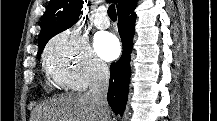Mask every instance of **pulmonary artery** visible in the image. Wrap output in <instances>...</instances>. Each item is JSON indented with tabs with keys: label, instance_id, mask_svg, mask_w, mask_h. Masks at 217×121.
I'll list each match as a JSON object with an SVG mask.
<instances>
[{
	"label": "pulmonary artery",
	"instance_id": "e3ab8cb5",
	"mask_svg": "<svg viewBox=\"0 0 217 121\" xmlns=\"http://www.w3.org/2000/svg\"><path fill=\"white\" fill-rule=\"evenodd\" d=\"M94 24L99 29H106L110 25V19L106 15V12L102 9H99L96 13V17L94 19Z\"/></svg>",
	"mask_w": 217,
	"mask_h": 121
}]
</instances>
